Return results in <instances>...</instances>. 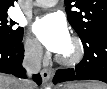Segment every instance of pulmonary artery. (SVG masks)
Returning a JSON list of instances; mask_svg holds the SVG:
<instances>
[{"instance_id": "e3ab8cb5", "label": "pulmonary artery", "mask_w": 107, "mask_h": 89, "mask_svg": "<svg viewBox=\"0 0 107 89\" xmlns=\"http://www.w3.org/2000/svg\"><path fill=\"white\" fill-rule=\"evenodd\" d=\"M57 2V0H36L34 2V6L41 8H49L54 6Z\"/></svg>"}]
</instances>
